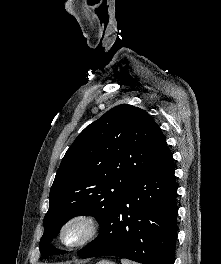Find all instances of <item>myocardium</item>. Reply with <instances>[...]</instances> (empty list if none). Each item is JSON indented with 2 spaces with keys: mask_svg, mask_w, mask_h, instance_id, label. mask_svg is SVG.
I'll return each mask as SVG.
<instances>
[{
  "mask_svg": "<svg viewBox=\"0 0 221 264\" xmlns=\"http://www.w3.org/2000/svg\"><path fill=\"white\" fill-rule=\"evenodd\" d=\"M73 225L81 226L83 234L77 241L69 243L65 240L64 235L67 229ZM99 230L100 222L95 215L88 212H77L70 215L63 222L59 230V239L65 247L75 249L91 242L97 236Z\"/></svg>",
  "mask_w": 221,
  "mask_h": 264,
  "instance_id": "f54148a6",
  "label": "myocardium"
}]
</instances>
